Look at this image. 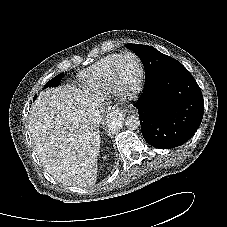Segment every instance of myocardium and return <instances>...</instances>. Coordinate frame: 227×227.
Listing matches in <instances>:
<instances>
[{"label":"myocardium","mask_w":227,"mask_h":227,"mask_svg":"<svg viewBox=\"0 0 227 227\" xmlns=\"http://www.w3.org/2000/svg\"><path fill=\"white\" fill-rule=\"evenodd\" d=\"M126 56L133 57L136 60L137 65H138L137 78L130 87L122 86L117 79L118 65H119L120 61L122 60V58H124ZM109 76H110L112 88L117 92V94L124 99L130 98V97L134 96L139 91V89L142 85V82H143L144 66H143L142 60L134 52L125 51V52L119 54V56L117 57V59L113 63V65L110 69V75Z\"/></svg>","instance_id":"f54148a6"}]
</instances>
